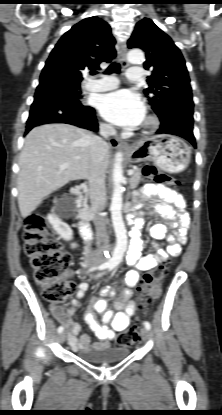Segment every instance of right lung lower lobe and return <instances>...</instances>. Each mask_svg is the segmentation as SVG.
Wrapping results in <instances>:
<instances>
[{
	"label": "right lung lower lobe",
	"mask_w": 222,
	"mask_h": 415,
	"mask_svg": "<svg viewBox=\"0 0 222 415\" xmlns=\"http://www.w3.org/2000/svg\"><path fill=\"white\" fill-rule=\"evenodd\" d=\"M61 122L98 131L95 110L81 104L65 79L53 75L40 78L27 120L26 132L41 124Z\"/></svg>",
	"instance_id": "obj_1"
}]
</instances>
